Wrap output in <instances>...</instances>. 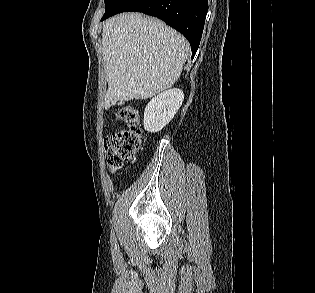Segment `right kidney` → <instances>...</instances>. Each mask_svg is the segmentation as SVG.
Listing matches in <instances>:
<instances>
[{
  "instance_id": "1",
  "label": "right kidney",
  "mask_w": 315,
  "mask_h": 293,
  "mask_svg": "<svg viewBox=\"0 0 315 293\" xmlns=\"http://www.w3.org/2000/svg\"><path fill=\"white\" fill-rule=\"evenodd\" d=\"M184 100L181 89H168L148 103L144 112V129L151 133L162 130L175 116Z\"/></svg>"
}]
</instances>
